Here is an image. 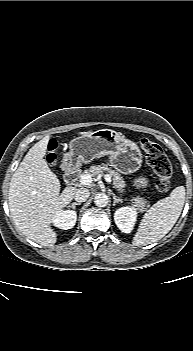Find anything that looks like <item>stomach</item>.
Listing matches in <instances>:
<instances>
[{
  "label": "stomach",
  "mask_w": 193,
  "mask_h": 351,
  "mask_svg": "<svg viewBox=\"0 0 193 351\" xmlns=\"http://www.w3.org/2000/svg\"><path fill=\"white\" fill-rule=\"evenodd\" d=\"M69 148L63 159L64 165L68 168L89 163L101 156H108L110 165L116 171L132 174L137 172L143 163L138 145L122 133L111 129H101L88 136H79L70 142ZM133 185L145 188L149 185V179L146 176H139L133 180Z\"/></svg>",
  "instance_id": "stomach-1"
}]
</instances>
